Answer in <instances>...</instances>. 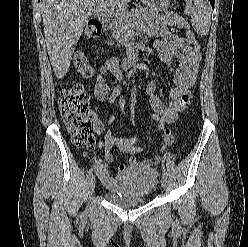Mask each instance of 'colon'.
I'll use <instances>...</instances> for the list:
<instances>
[{
  "instance_id": "1",
  "label": "colon",
  "mask_w": 248,
  "mask_h": 247,
  "mask_svg": "<svg viewBox=\"0 0 248 247\" xmlns=\"http://www.w3.org/2000/svg\"><path fill=\"white\" fill-rule=\"evenodd\" d=\"M101 33V27L96 20L88 22L85 35L96 38ZM187 39L194 40L191 31L186 33ZM73 63L76 71L83 77L90 78L94 75V68L89 63L85 53L78 51L74 55ZM59 107L63 121L67 127L73 144L79 148L90 149L94 145V122L90 109L89 96L80 83H73L68 89H63L59 95ZM163 119L157 121L151 132V146L158 133L164 126Z\"/></svg>"
}]
</instances>
